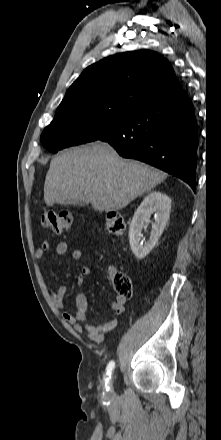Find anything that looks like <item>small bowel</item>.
<instances>
[{
	"mask_svg": "<svg viewBox=\"0 0 221 440\" xmlns=\"http://www.w3.org/2000/svg\"><path fill=\"white\" fill-rule=\"evenodd\" d=\"M51 242L44 241L42 247L36 250L35 257L38 260L44 258L46 252L51 249ZM68 250V244L65 241L59 242L55 247V252L57 255L62 256ZM72 259L74 261H81L83 254L81 250H73L72 251ZM90 274V268L88 266H82L80 270V274L76 279L77 285H82L86 279V277ZM67 288L64 285H61L57 288L56 291L51 293V298L53 300L54 306L57 309L63 310L65 308L64 296L66 294ZM76 304V312L69 313L67 311L63 312L62 317L64 321L68 324L73 325L74 329L78 332L85 330L87 333V337L96 343L102 342L108 332L117 327L119 323V316L125 310L126 299L121 297H116L113 301L111 308L115 313L116 317L113 319L102 323V324H93L86 323L87 321V311H88V300L84 293H78L75 298Z\"/></svg>",
	"mask_w": 221,
	"mask_h": 440,
	"instance_id": "1",
	"label": "small bowel"
}]
</instances>
